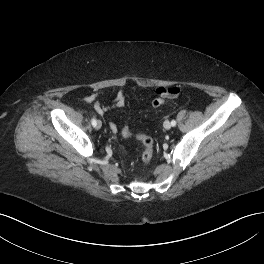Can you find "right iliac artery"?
Returning <instances> with one entry per match:
<instances>
[{"mask_svg":"<svg viewBox=\"0 0 264 264\" xmlns=\"http://www.w3.org/2000/svg\"><path fill=\"white\" fill-rule=\"evenodd\" d=\"M91 123H92V125H93L94 127H96V125H97V121H96L94 118L91 120Z\"/></svg>","mask_w":264,"mask_h":264,"instance_id":"obj_1","label":"right iliac artery"}]
</instances>
